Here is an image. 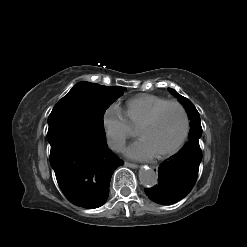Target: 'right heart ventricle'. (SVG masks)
Listing matches in <instances>:
<instances>
[{
	"mask_svg": "<svg viewBox=\"0 0 247 247\" xmlns=\"http://www.w3.org/2000/svg\"><path fill=\"white\" fill-rule=\"evenodd\" d=\"M167 101L153 94H141L128 100L125 116L131 128H137L158 106Z\"/></svg>",
	"mask_w": 247,
	"mask_h": 247,
	"instance_id": "e07e8e85",
	"label": "right heart ventricle"
}]
</instances>
